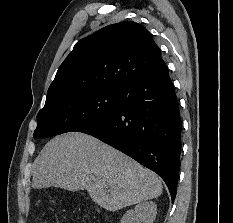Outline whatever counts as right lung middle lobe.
<instances>
[{"instance_id": "1", "label": "right lung middle lobe", "mask_w": 233, "mask_h": 223, "mask_svg": "<svg viewBox=\"0 0 233 223\" xmlns=\"http://www.w3.org/2000/svg\"><path fill=\"white\" fill-rule=\"evenodd\" d=\"M120 89L92 88L58 97L45 103L37 115L36 138H46L100 120L119 108Z\"/></svg>"}]
</instances>
